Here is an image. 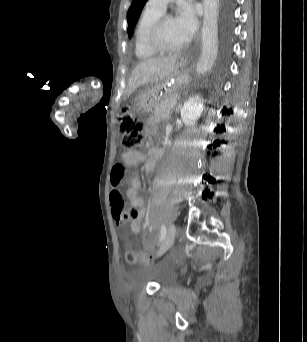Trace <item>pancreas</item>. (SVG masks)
Returning <instances> with one entry per match:
<instances>
[{"mask_svg":"<svg viewBox=\"0 0 307 342\" xmlns=\"http://www.w3.org/2000/svg\"><path fill=\"white\" fill-rule=\"evenodd\" d=\"M162 98L166 104H174L175 101L178 100V95L170 94L168 97L164 95ZM153 114L154 116H157V118H168L170 116V111L167 109L165 104H163V106H160V108H156Z\"/></svg>","mask_w":307,"mask_h":342,"instance_id":"cf45deb5","label":"pancreas"}]
</instances>
